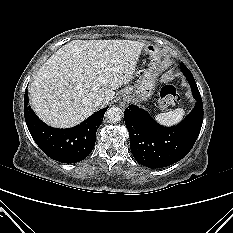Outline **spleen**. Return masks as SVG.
Here are the masks:
<instances>
[{"label": "spleen", "mask_w": 233, "mask_h": 233, "mask_svg": "<svg viewBox=\"0 0 233 233\" xmlns=\"http://www.w3.org/2000/svg\"><path fill=\"white\" fill-rule=\"evenodd\" d=\"M185 115V111L182 108L169 111L167 113H161L155 116V120L161 125L172 126L179 123Z\"/></svg>", "instance_id": "obj_1"}]
</instances>
